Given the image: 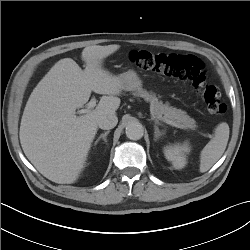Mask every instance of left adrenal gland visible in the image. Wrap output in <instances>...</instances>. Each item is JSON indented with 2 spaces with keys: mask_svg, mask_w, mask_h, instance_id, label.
<instances>
[{
  "mask_svg": "<svg viewBox=\"0 0 250 250\" xmlns=\"http://www.w3.org/2000/svg\"><path fill=\"white\" fill-rule=\"evenodd\" d=\"M154 130H155L154 132L155 141H157L161 136L165 135V131H160L156 124L154 125Z\"/></svg>",
  "mask_w": 250,
  "mask_h": 250,
  "instance_id": "a2214340",
  "label": "left adrenal gland"
}]
</instances>
